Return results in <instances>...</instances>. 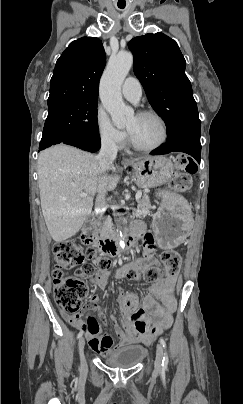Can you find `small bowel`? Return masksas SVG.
Returning <instances> with one entry per match:
<instances>
[{
    "instance_id": "obj_1",
    "label": "small bowel",
    "mask_w": 243,
    "mask_h": 404,
    "mask_svg": "<svg viewBox=\"0 0 243 404\" xmlns=\"http://www.w3.org/2000/svg\"><path fill=\"white\" fill-rule=\"evenodd\" d=\"M134 229L140 235L142 234V267L147 268L157 264L154 257L155 240L153 235L149 232H144L141 224L135 225ZM115 276L117 278L124 277L123 270L116 272ZM109 277L110 274L106 270H98L95 274L96 285L99 288H105ZM175 283L176 279L174 277H168L154 284L151 287L150 294L143 301V307L125 316V329H122L116 323L114 324V332L119 339L118 344L114 347L112 338L109 335L100 334L99 323L94 317L89 316L87 321L80 318L81 314L72 316L63 313V317L73 327L85 332L89 346L98 354H108L112 349L138 342L149 344L171 325L172 314L176 308ZM97 302L98 297L92 296L85 309H94Z\"/></svg>"
}]
</instances>
